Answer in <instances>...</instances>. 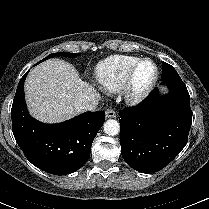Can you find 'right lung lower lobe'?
Segmentation results:
<instances>
[{"instance_id":"obj_1","label":"right lung lower lobe","mask_w":209,"mask_h":209,"mask_svg":"<svg viewBox=\"0 0 209 209\" xmlns=\"http://www.w3.org/2000/svg\"><path fill=\"white\" fill-rule=\"evenodd\" d=\"M28 72L18 84L11 109L15 140L36 167L55 175L72 173L89 159L92 142L105 121L104 112H86L59 124L33 119L24 98Z\"/></svg>"}]
</instances>
